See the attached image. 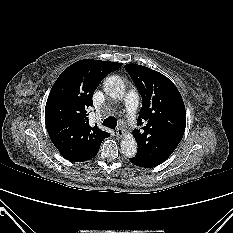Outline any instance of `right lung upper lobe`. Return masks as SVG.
Segmentation results:
<instances>
[{
  "instance_id": "obj_1",
  "label": "right lung upper lobe",
  "mask_w": 233,
  "mask_h": 233,
  "mask_svg": "<svg viewBox=\"0 0 233 233\" xmlns=\"http://www.w3.org/2000/svg\"><path fill=\"white\" fill-rule=\"evenodd\" d=\"M121 63L80 60L66 68L54 83L45 107L48 134L61 155L73 162L93 158L107 132L91 127L87 109L102 79Z\"/></svg>"
}]
</instances>
